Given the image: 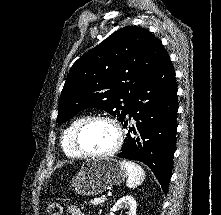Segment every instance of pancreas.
<instances>
[{
  "mask_svg": "<svg viewBox=\"0 0 221 215\" xmlns=\"http://www.w3.org/2000/svg\"><path fill=\"white\" fill-rule=\"evenodd\" d=\"M105 201H106V198L101 197V198H94L93 200H91L90 203L93 206H98V205H102Z\"/></svg>",
  "mask_w": 221,
  "mask_h": 215,
  "instance_id": "pancreas-1",
  "label": "pancreas"
}]
</instances>
